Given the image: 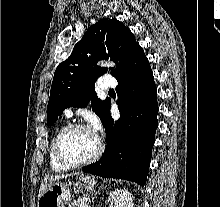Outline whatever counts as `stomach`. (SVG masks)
Here are the masks:
<instances>
[{"label":"stomach","mask_w":220,"mask_h":207,"mask_svg":"<svg viewBox=\"0 0 220 207\" xmlns=\"http://www.w3.org/2000/svg\"><path fill=\"white\" fill-rule=\"evenodd\" d=\"M96 181L93 177L82 175L73 183L76 192H91L94 190ZM71 201V190L67 183L53 182L50 187L38 198L37 207H65Z\"/></svg>","instance_id":"0dacf381"}]
</instances>
